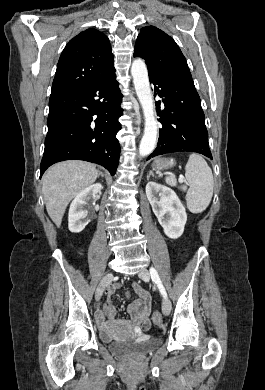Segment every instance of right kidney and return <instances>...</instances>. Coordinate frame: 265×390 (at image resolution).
I'll return each instance as SVG.
<instances>
[{"label":"right kidney","mask_w":265,"mask_h":390,"mask_svg":"<svg viewBox=\"0 0 265 390\" xmlns=\"http://www.w3.org/2000/svg\"><path fill=\"white\" fill-rule=\"evenodd\" d=\"M102 189L103 186L100 183H96L76 195L70 205L68 215V227L71 232H81L90 222V220L87 219L88 211L84 209V206L91 197L99 196Z\"/></svg>","instance_id":"right-kidney-1"}]
</instances>
